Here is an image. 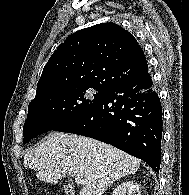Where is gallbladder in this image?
Listing matches in <instances>:
<instances>
[{
  "instance_id": "obj_1",
  "label": "gallbladder",
  "mask_w": 189,
  "mask_h": 195,
  "mask_svg": "<svg viewBox=\"0 0 189 195\" xmlns=\"http://www.w3.org/2000/svg\"><path fill=\"white\" fill-rule=\"evenodd\" d=\"M64 192L66 193V195H74V191L67 185L63 186Z\"/></svg>"
}]
</instances>
